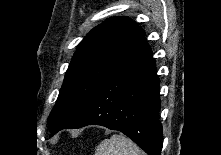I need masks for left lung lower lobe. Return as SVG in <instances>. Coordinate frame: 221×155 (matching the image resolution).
Here are the masks:
<instances>
[{
    "label": "left lung lower lobe",
    "mask_w": 221,
    "mask_h": 155,
    "mask_svg": "<svg viewBox=\"0 0 221 155\" xmlns=\"http://www.w3.org/2000/svg\"><path fill=\"white\" fill-rule=\"evenodd\" d=\"M160 106L155 61L146 44L102 82L65 128L105 126L127 135L148 155H161Z\"/></svg>",
    "instance_id": "1"
}]
</instances>
